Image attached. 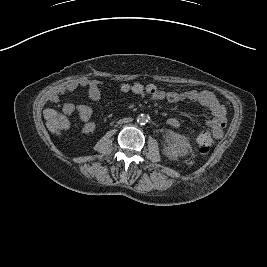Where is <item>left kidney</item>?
<instances>
[{
  "mask_svg": "<svg viewBox=\"0 0 267 267\" xmlns=\"http://www.w3.org/2000/svg\"><path fill=\"white\" fill-rule=\"evenodd\" d=\"M164 154L170 159V160H176L178 157V152L170 147V146H165L164 147Z\"/></svg>",
  "mask_w": 267,
  "mask_h": 267,
  "instance_id": "1",
  "label": "left kidney"
}]
</instances>
